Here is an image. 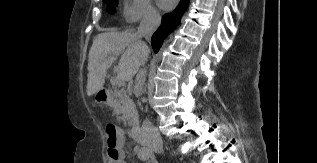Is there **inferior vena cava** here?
Returning <instances> with one entry per match:
<instances>
[{
	"label": "inferior vena cava",
	"mask_w": 317,
	"mask_h": 163,
	"mask_svg": "<svg viewBox=\"0 0 317 163\" xmlns=\"http://www.w3.org/2000/svg\"><path fill=\"white\" fill-rule=\"evenodd\" d=\"M161 23V16L155 10H148L139 27L137 34L139 37H145L147 41H150L152 34L158 29ZM146 49H149L148 46L143 43ZM146 60H144L143 64ZM146 79V71L141 70L136 78V86L139 90L142 89V86ZM143 138L147 144V146L156 153L163 152V141L160 136V133L156 127L152 125V123L148 120H145L141 127Z\"/></svg>",
	"instance_id": "inferior-vena-cava-1"
}]
</instances>
